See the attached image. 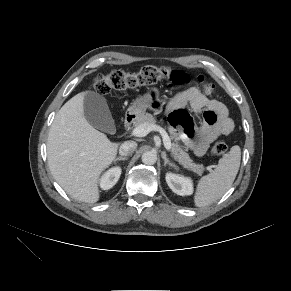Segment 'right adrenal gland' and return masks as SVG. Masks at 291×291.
Returning a JSON list of instances; mask_svg holds the SVG:
<instances>
[{
	"label": "right adrenal gland",
	"mask_w": 291,
	"mask_h": 291,
	"mask_svg": "<svg viewBox=\"0 0 291 291\" xmlns=\"http://www.w3.org/2000/svg\"><path fill=\"white\" fill-rule=\"evenodd\" d=\"M120 160H128V157H117V158L115 159V162H116V161H120Z\"/></svg>",
	"instance_id": "2a0ac1e0"
}]
</instances>
